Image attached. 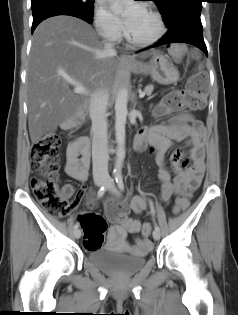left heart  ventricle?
<instances>
[{"mask_svg": "<svg viewBox=\"0 0 238 315\" xmlns=\"http://www.w3.org/2000/svg\"><path fill=\"white\" fill-rule=\"evenodd\" d=\"M129 34L139 40L149 39L157 32V23L154 17L145 9L136 16L128 29Z\"/></svg>", "mask_w": 238, "mask_h": 315, "instance_id": "1", "label": "left heart ventricle"}]
</instances>
